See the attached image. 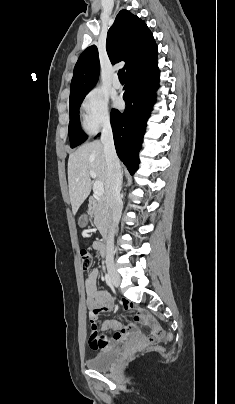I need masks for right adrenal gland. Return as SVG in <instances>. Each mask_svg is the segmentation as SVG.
<instances>
[{"instance_id": "right-adrenal-gland-1", "label": "right adrenal gland", "mask_w": 235, "mask_h": 404, "mask_svg": "<svg viewBox=\"0 0 235 404\" xmlns=\"http://www.w3.org/2000/svg\"><path fill=\"white\" fill-rule=\"evenodd\" d=\"M123 187V177H122V180H121V188Z\"/></svg>"}]
</instances>
